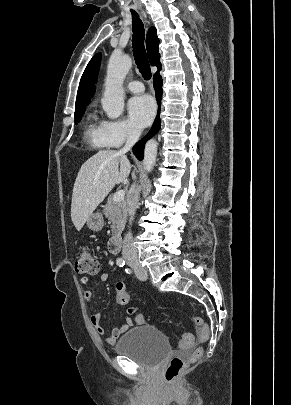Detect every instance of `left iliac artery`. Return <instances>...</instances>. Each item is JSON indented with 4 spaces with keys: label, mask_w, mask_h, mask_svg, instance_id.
<instances>
[{
    "label": "left iliac artery",
    "mask_w": 291,
    "mask_h": 405,
    "mask_svg": "<svg viewBox=\"0 0 291 405\" xmlns=\"http://www.w3.org/2000/svg\"><path fill=\"white\" fill-rule=\"evenodd\" d=\"M126 273H131V271L129 269H125Z\"/></svg>",
    "instance_id": "44dca946"
}]
</instances>
